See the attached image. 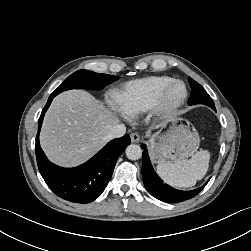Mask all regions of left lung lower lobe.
I'll return each instance as SVG.
<instances>
[{"label": "left lung lower lobe", "instance_id": "0a47b994", "mask_svg": "<svg viewBox=\"0 0 251 251\" xmlns=\"http://www.w3.org/2000/svg\"><path fill=\"white\" fill-rule=\"evenodd\" d=\"M213 110L216 111L215 108H213ZM141 148L143 149V154H142L143 182L149 193L156 199L166 203L182 202L196 196L207 184L206 183L202 187L191 191L176 190L170 187L169 185L164 184L163 181L159 178V176L155 173L151 165L146 146L144 144H141Z\"/></svg>", "mask_w": 251, "mask_h": 251}]
</instances>
